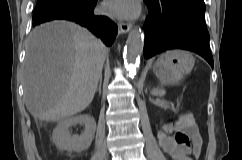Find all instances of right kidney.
I'll return each mask as SVG.
<instances>
[{
    "mask_svg": "<svg viewBox=\"0 0 242 160\" xmlns=\"http://www.w3.org/2000/svg\"><path fill=\"white\" fill-rule=\"evenodd\" d=\"M76 124H83L85 130L79 136H71L69 128ZM95 131L96 122L91 115H78L61 121L52 134V140L56 147L61 150L81 152L90 147Z\"/></svg>",
    "mask_w": 242,
    "mask_h": 160,
    "instance_id": "right-kidney-1",
    "label": "right kidney"
}]
</instances>
